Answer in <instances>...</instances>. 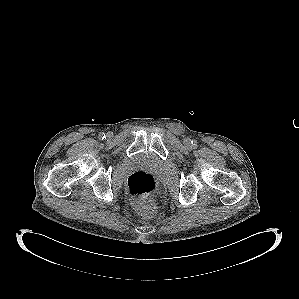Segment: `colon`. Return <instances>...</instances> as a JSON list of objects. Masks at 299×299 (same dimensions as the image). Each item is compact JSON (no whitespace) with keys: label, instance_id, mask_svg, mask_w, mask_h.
I'll return each instance as SVG.
<instances>
[{"label":"colon","instance_id":"5ec220e1","mask_svg":"<svg viewBox=\"0 0 299 299\" xmlns=\"http://www.w3.org/2000/svg\"><path fill=\"white\" fill-rule=\"evenodd\" d=\"M157 179L146 171H137L127 179V190L134 205L142 211L153 209L152 194L157 189Z\"/></svg>","mask_w":299,"mask_h":299}]
</instances>
